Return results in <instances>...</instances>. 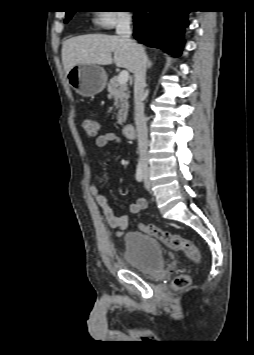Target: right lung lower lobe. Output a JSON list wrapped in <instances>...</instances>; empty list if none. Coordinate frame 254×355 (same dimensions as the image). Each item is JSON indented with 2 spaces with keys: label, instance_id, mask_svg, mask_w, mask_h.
<instances>
[{
  "label": "right lung lower lobe",
  "instance_id": "right-lung-lower-lobe-1",
  "mask_svg": "<svg viewBox=\"0 0 254 355\" xmlns=\"http://www.w3.org/2000/svg\"><path fill=\"white\" fill-rule=\"evenodd\" d=\"M134 12L135 39L145 45L163 49L174 56L181 54L189 11L160 8L149 13L141 10Z\"/></svg>",
  "mask_w": 254,
  "mask_h": 355
}]
</instances>
